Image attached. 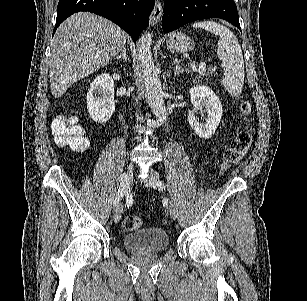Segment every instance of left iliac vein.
I'll list each match as a JSON object with an SVG mask.
<instances>
[{
  "label": "left iliac vein",
  "instance_id": "1",
  "mask_svg": "<svg viewBox=\"0 0 307 301\" xmlns=\"http://www.w3.org/2000/svg\"><path fill=\"white\" fill-rule=\"evenodd\" d=\"M158 182L159 175L157 174V172L152 171L150 174V186L155 190L161 191L162 187L158 184ZM169 214L174 220L177 219V209L173 202H170L169 204Z\"/></svg>",
  "mask_w": 307,
  "mask_h": 301
}]
</instances>
